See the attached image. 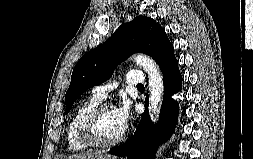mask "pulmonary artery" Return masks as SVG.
Instances as JSON below:
<instances>
[{
    "label": "pulmonary artery",
    "instance_id": "1",
    "mask_svg": "<svg viewBox=\"0 0 253 159\" xmlns=\"http://www.w3.org/2000/svg\"><path fill=\"white\" fill-rule=\"evenodd\" d=\"M144 74L142 70H130L124 80L125 84L138 86L144 82ZM117 87V84H100L93 88L92 92L94 95L101 99H105L108 94Z\"/></svg>",
    "mask_w": 253,
    "mask_h": 159
}]
</instances>
